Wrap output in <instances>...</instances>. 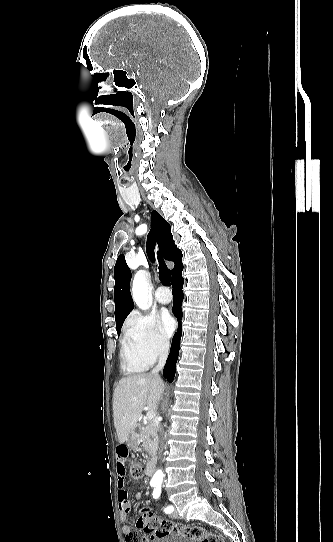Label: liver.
<instances>
[{
    "label": "liver",
    "instance_id": "liver-1",
    "mask_svg": "<svg viewBox=\"0 0 333 542\" xmlns=\"http://www.w3.org/2000/svg\"><path fill=\"white\" fill-rule=\"evenodd\" d=\"M164 388L162 380L151 374H130L119 380L113 396L114 426L119 444H124L137 428L144 408L158 410Z\"/></svg>",
    "mask_w": 333,
    "mask_h": 542
}]
</instances>
